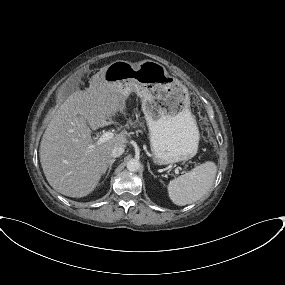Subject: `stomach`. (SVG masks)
Instances as JSON below:
<instances>
[{"mask_svg": "<svg viewBox=\"0 0 285 285\" xmlns=\"http://www.w3.org/2000/svg\"><path fill=\"white\" fill-rule=\"evenodd\" d=\"M106 82L142 99L154 163L187 161L197 153L199 131L191 113L189 92L158 62L115 61L104 73Z\"/></svg>", "mask_w": 285, "mask_h": 285, "instance_id": "obj_1", "label": "stomach"}]
</instances>
